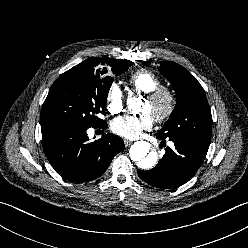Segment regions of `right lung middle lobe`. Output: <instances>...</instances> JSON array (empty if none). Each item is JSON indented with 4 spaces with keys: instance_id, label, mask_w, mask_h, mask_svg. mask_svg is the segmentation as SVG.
<instances>
[{
    "instance_id": "obj_1",
    "label": "right lung middle lobe",
    "mask_w": 248,
    "mask_h": 248,
    "mask_svg": "<svg viewBox=\"0 0 248 248\" xmlns=\"http://www.w3.org/2000/svg\"><path fill=\"white\" fill-rule=\"evenodd\" d=\"M133 62L123 60L118 66L77 65L64 72L51 86L42 106L41 126L72 124L97 126L105 123L98 114H105L107 95L113 82Z\"/></svg>"
}]
</instances>
